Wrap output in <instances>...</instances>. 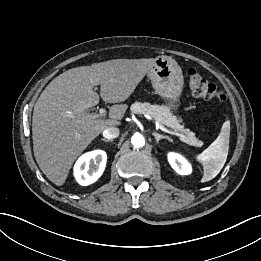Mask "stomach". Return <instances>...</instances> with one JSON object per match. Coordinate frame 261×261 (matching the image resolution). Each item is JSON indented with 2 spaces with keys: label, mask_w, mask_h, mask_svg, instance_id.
<instances>
[{
  "label": "stomach",
  "mask_w": 261,
  "mask_h": 261,
  "mask_svg": "<svg viewBox=\"0 0 261 261\" xmlns=\"http://www.w3.org/2000/svg\"><path fill=\"white\" fill-rule=\"evenodd\" d=\"M155 93L165 99L170 109L176 111L184 86L179 64L169 56H158L148 72Z\"/></svg>",
  "instance_id": "stomach-1"
}]
</instances>
